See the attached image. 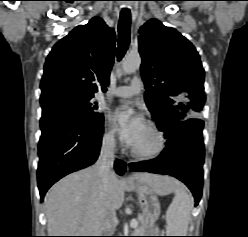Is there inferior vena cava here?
I'll use <instances>...</instances> for the list:
<instances>
[{"label": "inferior vena cava", "instance_id": "1", "mask_svg": "<svg viewBox=\"0 0 248 237\" xmlns=\"http://www.w3.org/2000/svg\"><path fill=\"white\" fill-rule=\"evenodd\" d=\"M114 150H115V139L113 136H108L103 139L102 147L99 158L96 162L95 167L102 179L104 189H107L108 181L110 176L113 174L114 165ZM116 213L112 206H108L106 211V217L104 222V231L106 234L111 236L116 228Z\"/></svg>", "mask_w": 248, "mask_h": 237}]
</instances>
